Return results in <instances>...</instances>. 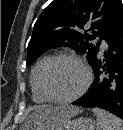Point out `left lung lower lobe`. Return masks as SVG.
<instances>
[{
    "label": "left lung lower lobe",
    "mask_w": 123,
    "mask_h": 130,
    "mask_svg": "<svg viewBox=\"0 0 123 130\" xmlns=\"http://www.w3.org/2000/svg\"><path fill=\"white\" fill-rule=\"evenodd\" d=\"M106 42L104 61L97 56L91 63L95 74L92 87L73 104L103 108L123 119V16Z\"/></svg>",
    "instance_id": "left-lung-lower-lobe-1"
}]
</instances>
